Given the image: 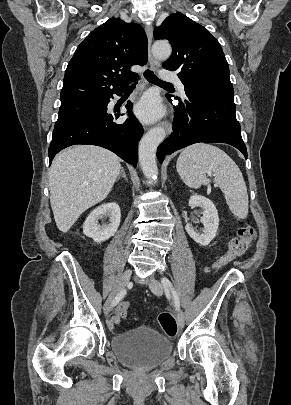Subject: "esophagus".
Segmentation results:
<instances>
[{
	"label": "esophagus",
	"mask_w": 291,
	"mask_h": 405,
	"mask_svg": "<svg viewBox=\"0 0 291 405\" xmlns=\"http://www.w3.org/2000/svg\"><path fill=\"white\" fill-rule=\"evenodd\" d=\"M145 31L148 37V62L150 65V69L152 71H157L160 67V62L156 60L151 54V43H152V27L150 25H146ZM160 125L164 126L168 132H171L172 125L169 121H162Z\"/></svg>",
	"instance_id": "esophagus-1"
}]
</instances>
